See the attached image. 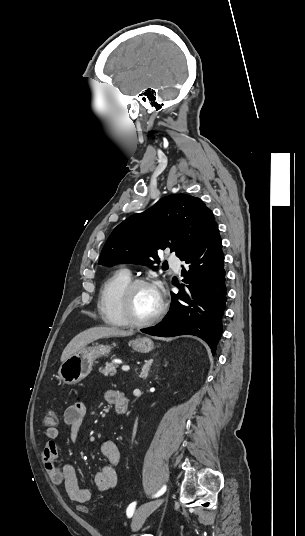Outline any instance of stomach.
<instances>
[{
  "label": "stomach",
  "instance_id": "0dacf381",
  "mask_svg": "<svg viewBox=\"0 0 305 536\" xmlns=\"http://www.w3.org/2000/svg\"><path fill=\"white\" fill-rule=\"evenodd\" d=\"M135 352H141V354H148L154 348L152 340L149 338H139V340H133L131 344ZM111 350V346H103V344H92V346H84L82 350L70 356L68 360L62 362L58 376L61 378L64 384H78L81 380H84L92 370V366L96 358L101 356H107Z\"/></svg>",
  "mask_w": 305,
  "mask_h": 536
}]
</instances>
